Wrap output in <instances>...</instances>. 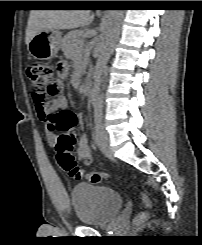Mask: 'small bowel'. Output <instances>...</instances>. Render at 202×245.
I'll return each instance as SVG.
<instances>
[{"instance_id": "c3829d8e", "label": "small bowel", "mask_w": 202, "mask_h": 245, "mask_svg": "<svg viewBox=\"0 0 202 245\" xmlns=\"http://www.w3.org/2000/svg\"><path fill=\"white\" fill-rule=\"evenodd\" d=\"M64 64V63H63ZM65 65V64H64ZM66 99L63 96H59L55 99L48 107L49 111H61L66 109ZM44 130L47 133V139L50 142L54 141V136L50 133V130L44 120ZM77 155L80 159L84 160L86 163H90L91 160V150L89 145V140L87 137H83L79 142L77 148Z\"/></svg>"}]
</instances>
